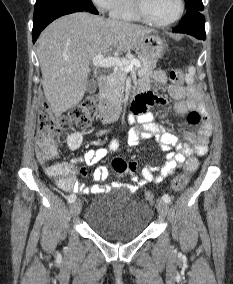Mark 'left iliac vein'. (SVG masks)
Returning <instances> with one entry per match:
<instances>
[{
    "mask_svg": "<svg viewBox=\"0 0 233 284\" xmlns=\"http://www.w3.org/2000/svg\"><path fill=\"white\" fill-rule=\"evenodd\" d=\"M157 211L160 214L161 217H166L168 214V205L167 203L162 200V199H158L157 200Z\"/></svg>",
    "mask_w": 233,
    "mask_h": 284,
    "instance_id": "4c4485c4",
    "label": "left iliac vein"
}]
</instances>
